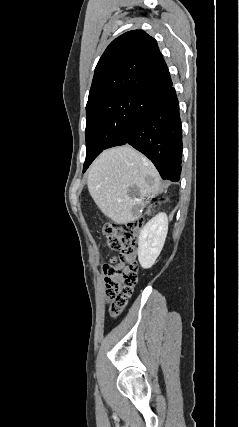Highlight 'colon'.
<instances>
[{
    "label": "colon",
    "mask_w": 239,
    "mask_h": 427,
    "mask_svg": "<svg viewBox=\"0 0 239 427\" xmlns=\"http://www.w3.org/2000/svg\"><path fill=\"white\" fill-rule=\"evenodd\" d=\"M142 226L143 220L139 219L129 223H107L103 227L109 248L118 252L117 257L103 265L112 317H117L126 306L138 280L136 240Z\"/></svg>",
    "instance_id": "5ec220e1"
}]
</instances>
